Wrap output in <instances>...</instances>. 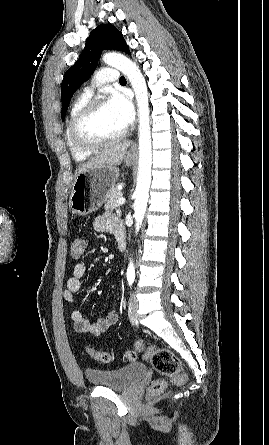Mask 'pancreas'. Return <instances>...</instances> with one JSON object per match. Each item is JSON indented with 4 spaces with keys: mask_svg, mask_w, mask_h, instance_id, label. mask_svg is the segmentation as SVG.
Wrapping results in <instances>:
<instances>
[{
    "mask_svg": "<svg viewBox=\"0 0 269 445\" xmlns=\"http://www.w3.org/2000/svg\"><path fill=\"white\" fill-rule=\"evenodd\" d=\"M121 197H123L121 191L117 189V186L113 187L107 196L105 202V209L107 210L117 209L120 206V204L118 203V199Z\"/></svg>",
    "mask_w": 269,
    "mask_h": 445,
    "instance_id": "pancreas-1",
    "label": "pancreas"
}]
</instances>
